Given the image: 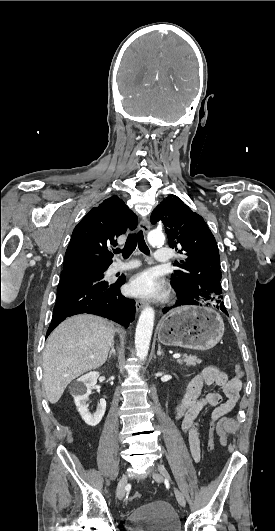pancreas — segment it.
<instances>
[{
	"instance_id": "1",
	"label": "pancreas",
	"mask_w": 275,
	"mask_h": 531,
	"mask_svg": "<svg viewBox=\"0 0 275 531\" xmlns=\"http://www.w3.org/2000/svg\"><path fill=\"white\" fill-rule=\"evenodd\" d=\"M179 365H186V367H195V365H200L202 361L195 357V355H183L182 359H177Z\"/></svg>"
}]
</instances>
